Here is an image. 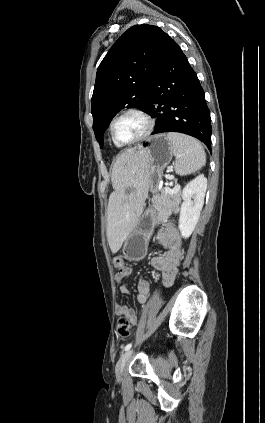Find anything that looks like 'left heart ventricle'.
<instances>
[{"instance_id": "obj_1", "label": "left heart ventricle", "mask_w": 265, "mask_h": 423, "mask_svg": "<svg viewBox=\"0 0 265 423\" xmlns=\"http://www.w3.org/2000/svg\"><path fill=\"white\" fill-rule=\"evenodd\" d=\"M146 123L138 115L130 114L119 119L114 126L116 138L128 142L139 137L145 130Z\"/></svg>"}]
</instances>
